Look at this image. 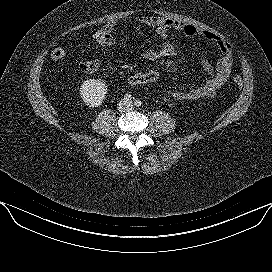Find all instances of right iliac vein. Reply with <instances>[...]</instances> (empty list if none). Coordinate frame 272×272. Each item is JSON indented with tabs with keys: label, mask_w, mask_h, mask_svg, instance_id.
<instances>
[{
	"label": "right iliac vein",
	"mask_w": 272,
	"mask_h": 272,
	"mask_svg": "<svg viewBox=\"0 0 272 272\" xmlns=\"http://www.w3.org/2000/svg\"><path fill=\"white\" fill-rule=\"evenodd\" d=\"M126 108V102L125 101H120V103L118 104V110L119 111H124Z\"/></svg>",
	"instance_id": "right-iliac-vein-1"
}]
</instances>
